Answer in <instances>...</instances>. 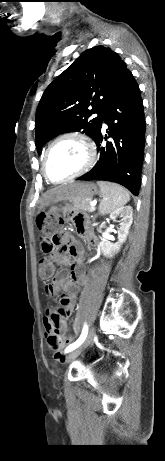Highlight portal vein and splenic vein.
<instances>
[{"mask_svg":"<svg viewBox=\"0 0 165 461\" xmlns=\"http://www.w3.org/2000/svg\"><path fill=\"white\" fill-rule=\"evenodd\" d=\"M96 204H97V201L94 200V201H92V202L90 203V206H91L92 208H95Z\"/></svg>","mask_w":165,"mask_h":461,"instance_id":"obj_1","label":"portal vein and splenic vein"}]
</instances>
